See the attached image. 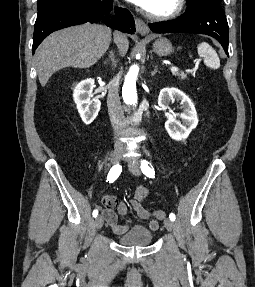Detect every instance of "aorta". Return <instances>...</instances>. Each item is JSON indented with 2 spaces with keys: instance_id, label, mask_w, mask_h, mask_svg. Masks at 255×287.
Listing matches in <instances>:
<instances>
[{
  "instance_id": "762f6f07",
  "label": "aorta",
  "mask_w": 255,
  "mask_h": 287,
  "mask_svg": "<svg viewBox=\"0 0 255 287\" xmlns=\"http://www.w3.org/2000/svg\"><path fill=\"white\" fill-rule=\"evenodd\" d=\"M139 67L132 65L125 77V82L122 87V95L126 104L135 106L137 104L136 79L138 76Z\"/></svg>"
}]
</instances>
